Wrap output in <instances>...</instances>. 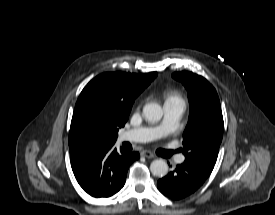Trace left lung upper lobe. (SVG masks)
<instances>
[{
	"label": "left lung upper lobe",
	"instance_id": "obj_1",
	"mask_svg": "<svg viewBox=\"0 0 275 215\" xmlns=\"http://www.w3.org/2000/svg\"><path fill=\"white\" fill-rule=\"evenodd\" d=\"M172 77L185 86L190 103L189 120L183 134L185 163L208 175L217 160L223 136V116L214 87L202 76L176 72Z\"/></svg>",
	"mask_w": 275,
	"mask_h": 215
}]
</instances>
